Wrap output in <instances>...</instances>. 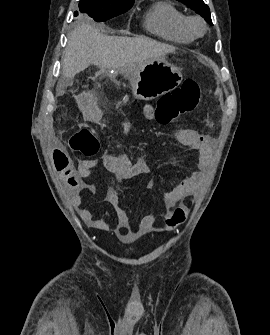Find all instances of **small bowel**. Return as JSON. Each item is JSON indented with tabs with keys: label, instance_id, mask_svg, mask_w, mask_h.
Wrapping results in <instances>:
<instances>
[{
	"label": "small bowel",
	"instance_id": "obj_1",
	"mask_svg": "<svg viewBox=\"0 0 270 335\" xmlns=\"http://www.w3.org/2000/svg\"><path fill=\"white\" fill-rule=\"evenodd\" d=\"M113 115L120 121L123 137L125 139L128 138L131 133V125L129 121L120 112L114 111ZM100 116L101 114H96V117ZM186 135L189 139L186 144L199 153V169L186 177L174 189L163 193V202L166 207L164 212L165 216L169 215L170 209L174 205L184 201L198 189L205 177L206 166L210 159L213 144L212 138L199 133L188 134L186 131H180V136ZM47 150L56 151V154H47V161H53L54 165H58L55 166L54 171L55 173H59L60 178H65L66 183L70 187L72 192V203L80 218L92 229L99 231L111 230L112 224L108 220L104 218H95L89 209L80 207V193L84 189L90 188L84 180L90 176L91 169L96 166V160L86 159L78 162L77 158L73 157V154H57V151L60 150L59 144H48ZM102 160L107 170L114 174L120 181L128 180L135 176L150 172L149 165L145 160H137L133 162L123 152L116 154L105 153L102 156ZM153 186V181H149L148 187L153 188ZM106 201L112 206L116 215V234L118 236L128 234L131 230L130 220L126 210L121 207L120 195L116 189L109 187L106 190ZM155 221V214L144 216L139 222L140 230H149L154 225Z\"/></svg>",
	"mask_w": 270,
	"mask_h": 335
}]
</instances>
